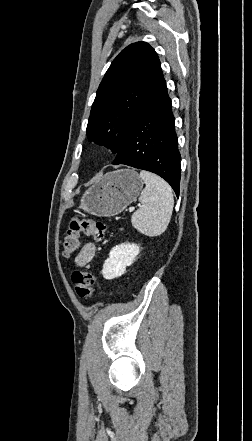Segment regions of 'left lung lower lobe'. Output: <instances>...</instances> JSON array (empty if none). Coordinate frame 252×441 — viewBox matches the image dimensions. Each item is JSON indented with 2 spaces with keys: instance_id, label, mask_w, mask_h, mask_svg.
Wrapping results in <instances>:
<instances>
[{
  "instance_id": "left-lung-lower-lobe-1",
  "label": "left lung lower lobe",
  "mask_w": 252,
  "mask_h": 441,
  "mask_svg": "<svg viewBox=\"0 0 252 441\" xmlns=\"http://www.w3.org/2000/svg\"><path fill=\"white\" fill-rule=\"evenodd\" d=\"M174 122L159 64L146 100L112 164L153 172L164 178L179 196L180 153Z\"/></svg>"
}]
</instances>
